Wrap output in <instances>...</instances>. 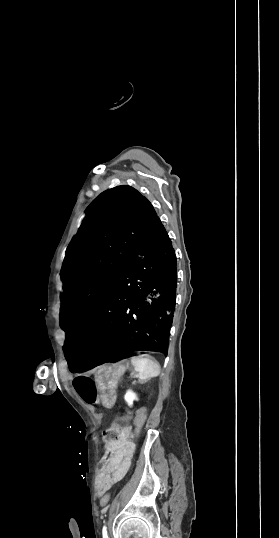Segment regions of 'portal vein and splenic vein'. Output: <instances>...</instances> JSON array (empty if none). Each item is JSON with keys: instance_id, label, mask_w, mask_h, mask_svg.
<instances>
[{"instance_id": "obj_1", "label": "portal vein and splenic vein", "mask_w": 279, "mask_h": 538, "mask_svg": "<svg viewBox=\"0 0 279 538\" xmlns=\"http://www.w3.org/2000/svg\"><path fill=\"white\" fill-rule=\"evenodd\" d=\"M128 379H131V376H128ZM132 384H136V381H132Z\"/></svg>"}]
</instances>
